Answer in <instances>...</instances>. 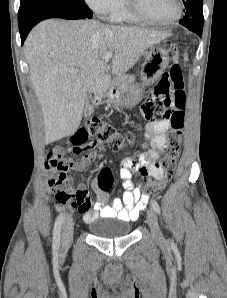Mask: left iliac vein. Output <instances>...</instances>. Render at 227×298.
I'll list each match as a JSON object with an SVG mask.
<instances>
[{
	"mask_svg": "<svg viewBox=\"0 0 227 298\" xmlns=\"http://www.w3.org/2000/svg\"><path fill=\"white\" fill-rule=\"evenodd\" d=\"M147 223L151 229L154 240L158 243L164 242V236L160 230L157 215L153 210L147 212Z\"/></svg>",
	"mask_w": 227,
	"mask_h": 298,
	"instance_id": "1",
	"label": "left iliac vein"
}]
</instances>
